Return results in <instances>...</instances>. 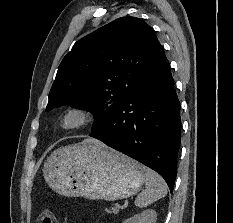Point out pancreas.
Listing matches in <instances>:
<instances>
[{
    "label": "pancreas",
    "mask_w": 233,
    "mask_h": 223,
    "mask_svg": "<svg viewBox=\"0 0 233 223\" xmlns=\"http://www.w3.org/2000/svg\"><path fill=\"white\" fill-rule=\"evenodd\" d=\"M112 211H113V213H117V211H118L117 207H112Z\"/></svg>",
    "instance_id": "pancreas-1"
}]
</instances>
